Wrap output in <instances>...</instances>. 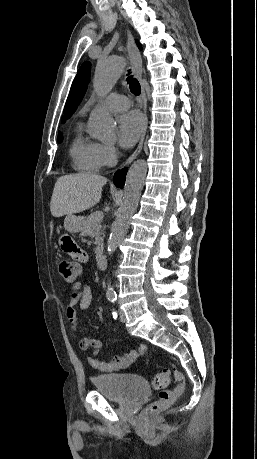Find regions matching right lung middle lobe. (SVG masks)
Here are the masks:
<instances>
[{
    "label": "right lung middle lobe",
    "instance_id": "1",
    "mask_svg": "<svg viewBox=\"0 0 257 459\" xmlns=\"http://www.w3.org/2000/svg\"><path fill=\"white\" fill-rule=\"evenodd\" d=\"M62 139H63V135H62V133H58V139H57V140H58V142H61V141H62Z\"/></svg>",
    "mask_w": 257,
    "mask_h": 459
}]
</instances>
